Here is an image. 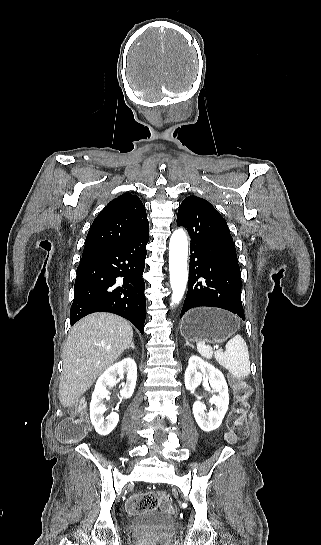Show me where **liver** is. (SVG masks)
Wrapping results in <instances>:
<instances>
[{
    "instance_id": "obj_1",
    "label": "liver",
    "mask_w": 321,
    "mask_h": 545,
    "mask_svg": "<svg viewBox=\"0 0 321 545\" xmlns=\"http://www.w3.org/2000/svg\"><path fill=\"white\" fill-rule=\"evenodd\" d=\"M133 339L128 321L111 313H93L71 329L63 351L59 401L72 407L97 377L111 367Z\"/></svg>"
}]
</instances>
